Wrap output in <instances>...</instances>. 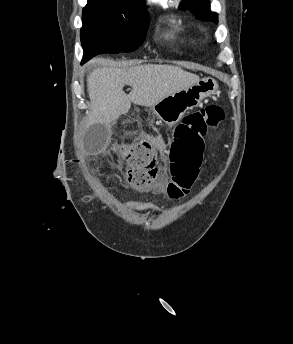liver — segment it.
Wrapping results in <instances>:
<instances>
[{
    "mask_svg": "<svg viewBox=\"0 0 293 344\" xmlns=\"http://www.w3.org/2000/svg\"><path fill=\"white\" fill-rule=\"evenodd\" d=\"M199 81V76L170 65L95 69L87 78L90 123L109 127L128 112L131 103L150 107ZM124 85L132 87L128 95L123 91Z\"/></svg>",
    "mask_w": 293,
    "mask_h": 344,
    "instance_id": "obj_1",
    "label": "liver"
}]
</instances>
